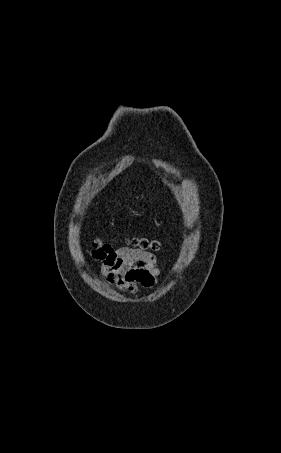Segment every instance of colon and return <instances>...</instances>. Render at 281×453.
Wrapping results in <instances>:
<instances>
[{
  "instance_id": "obj_1",
  "label": "colon",
  "mask_w": 281,
  "mask_h": 453,
  "mask_svg": "<svg viewBox=\"0 0 281 453\" xmlns=\"http://www.w3.org/2000/svg\"><path fill=\"white\" fill-rule=\"evenodd\" d=\"M127 245H137L138 249L140 247H145L147 250H150L152 252V254H154V251L158 250V248H159V244L156 241H151V240H147V239H134V240H131L130 242H128ZM105 249H110V248H105ZM103 251H104V249L94 253L92 255V260L104 261Z\"/></svg>"
}]
</instances>
